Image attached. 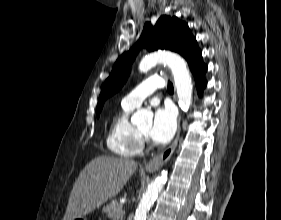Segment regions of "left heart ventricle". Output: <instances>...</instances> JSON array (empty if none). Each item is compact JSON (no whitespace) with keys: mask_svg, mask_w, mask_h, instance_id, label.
I'll use <instances>...</instances> for the list:
<instances>
[{"mask_svg":"<svg viewBox=\"0 0 281 220\" xmlns=\"http://www.w3.org/2000/svg\"><path fill=\"white\" fill-rule=\"evenodd\" d=\"M149 130H150V126H145V127L140 128V131L146 135L148 134Z\"/></svg>","mask_w":281,"mask_h":220,"instance_id":"b2bd125f","label":"left heart ventricle"}]
</instances>
